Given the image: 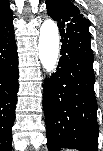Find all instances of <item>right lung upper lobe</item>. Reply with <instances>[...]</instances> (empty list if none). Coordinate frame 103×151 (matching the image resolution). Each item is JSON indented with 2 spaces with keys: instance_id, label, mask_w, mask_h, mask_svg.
<instances>
[{
  "instance_id": "obj_1",
  "label": "right lung upper lobe",
  "mask_w": 103,
  "mask_h": 151,
  "mask_svg": "<svg viewBox=\"0 0 103 151\" xmlns=\"http://www.w3.org/2000/svg\"><path fill=\"white\" fill-rule=\"evenodd\" d=\"M12 21L13 18H12V13L9 9V2L4 1L0 9V32L6 31L11 26H13Z\"/></svg>"
}]
</instances>
